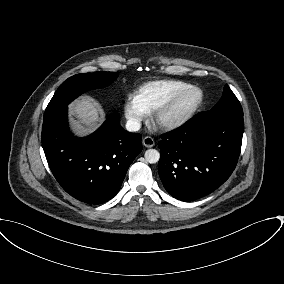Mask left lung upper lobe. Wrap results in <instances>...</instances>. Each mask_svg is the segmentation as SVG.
<instances>
[{
    "label": "left lung upper lobe",
    "mask_w": 284,
    "mask_h": 284,
    "mask_svg": "<svg viewBox=\"0 0 284 284\" xmlns=\"http://www.w3.org/2000/svg\"><path fill=\"white\" fill-rule=\"evenodd\" d=\"M212 110H230L235 112H243L239 100L231 91L228 85L224 86V91L219 102L212 108Z\"/></svg>",
    "instance_id": "5c2ea615"
}]
</instances>
